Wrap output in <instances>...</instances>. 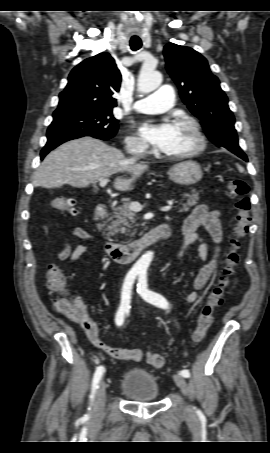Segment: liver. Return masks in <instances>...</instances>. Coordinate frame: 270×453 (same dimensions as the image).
<instances>
[{
  "label": "liver",
  "mask_w": 270,
  "mask_h": 453,
  "mask_svg": "<svg viewBox=\"0 0 270 453\" xmlns=\"http://www.w3.org/2000/svg\"><path fill=\"white\" fill-rule=\"evenodd\" d=\"M148 165L135 163L124 154L101 140L83 137L68 141L49 153L33 176V185L43 188H60L69 184L78 188L88 187L102 178L116 173L131 177H117L116 190L130 191Z\"/></svg>",
  "instance_id": "liver-1"
}]
</instances>
